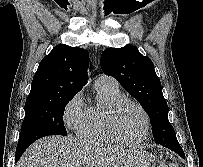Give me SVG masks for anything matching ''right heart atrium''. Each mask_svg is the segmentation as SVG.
Returning <instances> with one entry per match:
<instances>
[{
  "label": "right heart atrium",
  "instance_id": "1",
  "mask_svg": "<svg viewBox=\"0 0 203 167\" xmlns=\"http://www.w3.org/2000/svg\"><path fill=\"white\" fill-rule=\"evenodd\" d=\"M85 111L84 102L81 94H75L65 105L63 111V121L65 125L77 131Z\"/></svg>",
  "mask_w": 203,
  "mask_h": 167
}]
</instances>
